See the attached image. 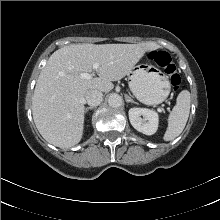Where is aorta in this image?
<instances>
[{
	"instance_id": "762f6f07",
	"label": "aorta",
	"mask_w": 220,
	"mask_h": 220,
	"mask_svg": "<svg viewBox=\"0 0 220 220\" xmlns=\"http://www.w3.org/2000/svg\"><path fill=\"white\" fill-rule=\"evenodd\" d=\"M122 103H123L122 97L118 94H111L108 97V104L112 108H118L122 105Z\"/></svg>"
}]
</instances>
